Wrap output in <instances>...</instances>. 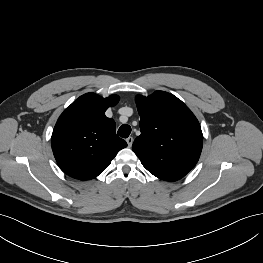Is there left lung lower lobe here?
<instances>
[{"label": "left lung lower lobe", "instance_id": "obj_1", "mask_svg": "<svg viewBox=\"0 0 263 263\" xmlns=\"http://www.w3.org/2000/svg\"><path fill=\"white\" fill-rule=\"evenodd\" d=\"M185 175L173 171V170H167L163 175H161L159 178L165 181H176L184 177Z\"/></svg>", "mask_w": 263, "mask_h": 263}]
</instances>
